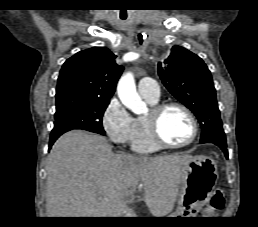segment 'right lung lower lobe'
I'll use <instances>...</instances> for the list:
<instances>
[{
  "mask_svg": "<svg viewBox=\"0 0 258 227\" xmlns=\"http://www.w3.org/2000/svg\"><path fill=\"white\" fill-rule=\"evenodd\" d=\"M71 129L66 128V127H62V126H56L53 128L52 132H51V137H50V144H49V148L52 147L53 143L56 141V139L62 135L63 133L69 131Z\"/></svg>",
  "mask_w": 258,
  "mask_h": 227,
  "instance_id": "1",
  "label": "right lung lower lobe"
}]
</instances>
